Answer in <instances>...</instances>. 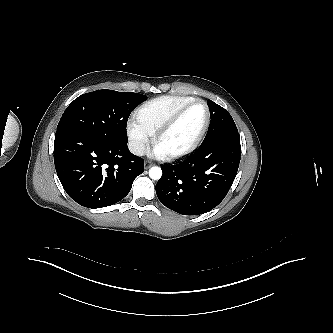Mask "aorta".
I'll return each instance as SVG.
<instances>
[{"label":"aorta","instance_id":"1","mask_svg":"<svg viewBox=\"0 0 333 333\" xmlns=\"http://www.w3.org/2000/svg\"><path fill=\"white\" fill-rule=\"evenodd\" d=\"M162 176V170L160 167L154 166L149 170V177L153 180H158Z\"/></svg>","mask_w":333,"mask_h":333}]
</instances>
